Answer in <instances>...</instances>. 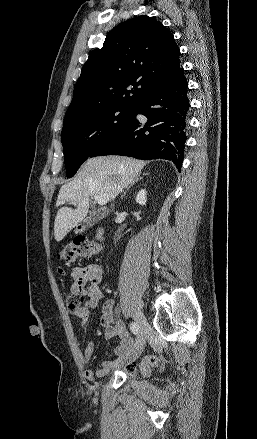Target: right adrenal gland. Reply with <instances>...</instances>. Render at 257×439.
I'll list each match as a JSON object with an SVG mask.
<instances>
[{"label": "right adrenal gland", "mask_w": 257, "mask_h": 439, "mask_svg": "<svg viewBox=\"0 0 257 439\" xmlns=\"http://www.w3.org/2000/svg\"><path fill=\"white\" fill-rule=\"evenodd\" d=\"M143 175H145V174H143ZM142 179H143V177H141L140 175H138L136 178H134L132 180V182L130 183V185L126 188V191L123 193V195H121V198H123L125 196L126 192L129 190V188L131 186H133L135 183H137L138 181H140Z\"/></svg>", "instance_id": "2a0ac1e0"}]
</instances>
